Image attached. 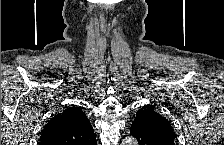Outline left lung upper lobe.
<instances>
[{"instance_id":"5c2ea615","label":"left lung upper lobe","mask_w":224,"mask_h":145,"mask_svg":"<svg viewBox=\"0 0 224 145\" xmlns=\"http://www.w3.org/2000/svg\"><path fill=\"white\" fill-rule=\"evenodd\" d=\"M141 115L146 122V126L149 132L157 137L165 145L174 144V133L171 125L167 119L159 115L153 108H143L137 113V116Z\"/></svg>"}]
</instances>
